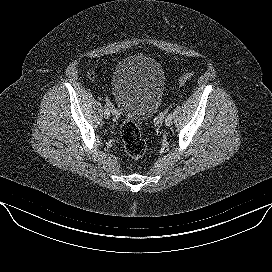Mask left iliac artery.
Wrapping results in <instances>:
<instances>
[{"mask_svg":"<svg viewBox=\"0 0 272 272\" xmlns=\"http://www.w3.org/2000/svg\"><path fill=\"white\" fill-rule=\"evenodd\" d=\"M173 116V111H167V118L171 119Z\"/></svg>","mask_w":272,"mask_h":272,"instance_id":"left-iliac-artery-1","label":"left iliac artery"}]
</instances>
